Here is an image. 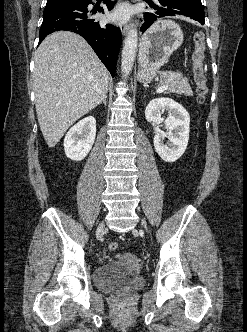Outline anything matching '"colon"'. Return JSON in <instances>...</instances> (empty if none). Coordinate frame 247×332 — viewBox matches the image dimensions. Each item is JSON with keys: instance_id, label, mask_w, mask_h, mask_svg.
<instances>
[{"instance_id": "1", "label": "colon", "mask_w": 247, "mask_h": 332, "mask_svg": "<svg viewBox=\"0 0 247 332\" xmlns=\"http://www.w3.org/2000/svg\"><path fill=\"white\" fill-rule=\"evenodd\" d=\"M195 48L192 54L193 62V80L196 86L197 101L203 103L208 93V87L206 84V74L204 68V56H205V35L203 32H196L194 34ZM109 250L115 252L119 249L117 242H111L109 244Z\"/></svg>"}]
</instances>
